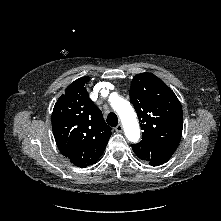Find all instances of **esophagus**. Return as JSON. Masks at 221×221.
<instances>
[{
  "mask_svg": "<svg viewBox=\"0 0 221 221\" xmlns=\"http://www.w3.org/2000/svg\"><path fill=\"white\" fill-rule=\"evenodd\" d=\"M115 131L117 133H121L123 131V126L121 124H118L116 127H115Z\"/></svg>",
  "mask_w": 221,
  "mask_h": 221,
  "instance_id": "34e87169",
  "label": "esophagus"
}]
</instances>
